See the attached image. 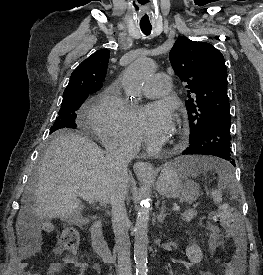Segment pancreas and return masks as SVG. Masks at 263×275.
<instances>
[{
	"mask_svg": "<svg viewBox=\"0 0 263 275\" xmlns=\"http://www.w3.org/2000/svg\"><path fill=\"white\" fill-rule=\"evenodd\" d=\"M196 216L197 212L192 209L186 210L184 213L181 214V218L184 221H190Z\"/></svg>",
	"mask_w": 263,
	"mask_h": 275,
	"instance_id": "cf45deb5",
	"label": "pancreas"
}]
</instances>
